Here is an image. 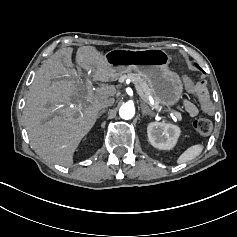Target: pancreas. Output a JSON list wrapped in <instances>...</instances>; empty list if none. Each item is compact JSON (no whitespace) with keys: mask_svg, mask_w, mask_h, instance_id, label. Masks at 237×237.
Masks as SVG:
<instances>
[{"mask_svg":"<svg viewBox=\"0 0 237 237\" xmlns=\"http://www.w3.org/2000/svg\"><path fill=\"white\" fill-rule=\"evenodd\" d=\"M122 77H124L125 79H127V78L131 79L133 84L137 83L138 86H140L141 91L144 93V95H145V97L147 99V103H148L147 96L152 92L150 87H149V85L145 81H143V79L139 75L134 74V73H128L127 75H124ZM155 108H157V109L159 108L158 102L155 103ZM149 110L152 113V109L149 108Z\"/></svg>","mask_w":237,"mask_h":237,"instance_id":"1","label":"pancreas"}]
</instances>
